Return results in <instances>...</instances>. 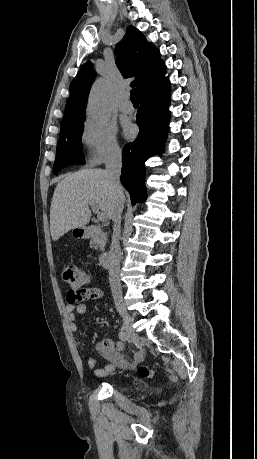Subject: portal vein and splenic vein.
Instances as JSON below:
<instances>
[{
	"instance_id": "1",
	"label": "portal vein and splenic vein",
	"mask_w": 257,
	"mask_h": 459,
	"mask_svg": "<svg viewBox=\"0 0 257 459\" xmlns=\"http://www.w3.org/2000/svg\"><path fill=\"white\" fill-rule=\"evenodd\" d=\"M90 205H91V208H92L93 212L95 214H97L98 220L104 221L105 220V215L102 212L99 211V209L97 208V206L94 203H90Z\"/></svg>"
}]
</instances>
